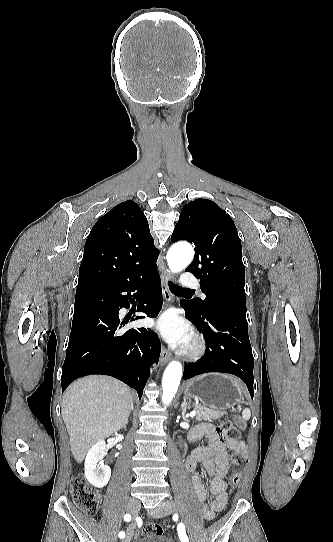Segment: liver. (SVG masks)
<instances>
[{"mask_svg":"<svg viewBox=\"0 0 333 542\" xmlns=\"http://www.w3.org/2000/svg\"><path fill=\"white\" fill-rule=\"evenodd\" d=\"M131 402L130 388L109 376H86L69 386L61 414L78 464L95 442L128 424Z\"/></svg>","mask_w":333,"mask_h":542,"instance_id":"6515ba94","label":"liver"}]
</instances>
